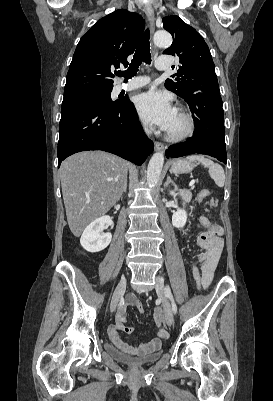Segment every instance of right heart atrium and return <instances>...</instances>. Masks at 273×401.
Masks as SVG:
<instances>
[{
	"mask_svg": "<svg viewBox=\"0 0 273 401\" xmlns=\"http://www.w3.org/2000/svg\"><path fill=\"white\" fill-rule=\"evenodd\" d=\"M143 128H144L145 130H148V127H147L146 125H143Z\"/></svg>",
	"mask_w": 273,
	"mask_h": 401,
	"instance_id": "d8ad5b80",
	"label": "right heart atrium"
}]
</instances>
